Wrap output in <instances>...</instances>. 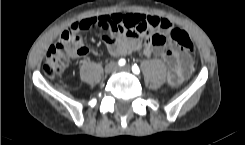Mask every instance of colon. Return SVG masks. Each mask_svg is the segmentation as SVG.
<instances>
[{
	"label": "colon",
	"mask_w": 245,
	"mask_h": 145,
	"mask_svg": "<svg viewBox=\"0 0 245 145\" xmlns=\"http://www.w3.org/2000/svg\"><path fill=\"white\" fill-rule=\"evenodd\" d=\"M94 21L92 22L94 23ZM79 31L80 29L76 23L67 27L63 31L61 38L48 51L43 63V72L47 77H55L61 74L66 68L69 58L86 54V47L75 45ZM155 40L160 45L171 41L187 50H195L192 39L178 27L171 28L165 34L157 32Z\"/></svg>",
	"instance_id": "1"
}]
</instances>
